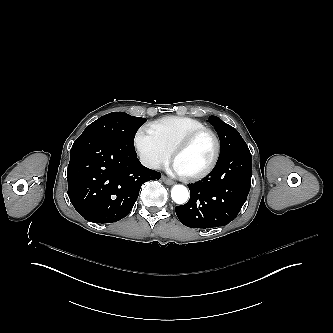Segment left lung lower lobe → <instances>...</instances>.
Masks as SVG:
<instances>
[{"label": "left lung lower lobe", "instance_id": "0a47b994", "mask_svg": "<svg viewBox=\"0 0 333 333\" xmlns=\"http://www.w3.org/2000/svg\"><path fill=\"white\" fill-rule=\"evenodd\" d=\"M252 156L248 147L218 159L201 181L189 184L190 199L176 206V214L187 227L213 228L232 221L245 203L251 187Z\"/></svg>", "mask_w": 333, "mask_h": 333}]
</instances>
